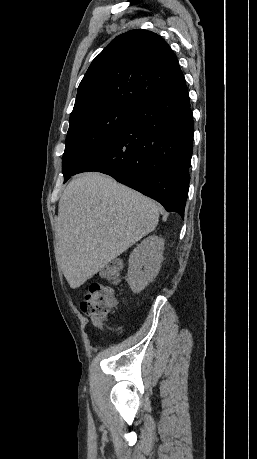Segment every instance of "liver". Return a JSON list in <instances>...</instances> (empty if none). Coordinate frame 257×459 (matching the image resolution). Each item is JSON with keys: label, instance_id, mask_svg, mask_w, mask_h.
Wrapping results in <instances>:
<instances>
[{"label": "liver", "instance_id": "liver-1", "mask_svg": "<svg viewBox=\"0 0 257 459\" xmlns=\"http://www.w3.org/2000/svg\"><path fill=\"white\" fill-rule=\"evenodd\" d=\"M159 207L109 176L73 179L58 205L56 239L62 272L76 289L152 232Z\"/></svg>", "mask_w": 257, "mask_h": 459}]
</instances>
